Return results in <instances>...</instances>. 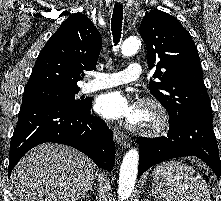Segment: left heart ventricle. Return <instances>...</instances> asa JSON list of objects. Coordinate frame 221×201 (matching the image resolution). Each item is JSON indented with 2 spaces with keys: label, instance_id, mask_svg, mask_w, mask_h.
Instances as JSON below:
<instances>
[{
  "label": "left heart ventricle",
  "instance_id": "b2bd125f",
  "mask_svg": "<svg viewBox=\"0 0 221 201\" xmlns=\"http://www.w3.org/2000/svg\"><path fill=\"white\" fill-rule=\"evenodd\" d=\"M149 121H150L149 116L140 110L138 116L134 119V122L140 125L147 124Z\"/></svg>",
  "mask_w": 221,
  "mask_h": 201
}]
</instances>
